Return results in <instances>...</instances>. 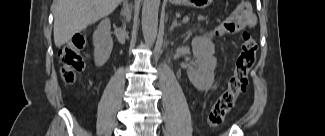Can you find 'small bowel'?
I'll return each mask as SVG.
<instances>
[{"mask_svg":"<svg viewBox=\"0 0 325 136\" xmlns=\"http://www.w3.org/2000/svg\"><path fill=\"white\" fill-rule=\"evenodd\" d=\"M233 30H234V26H232L231 24H228V23H223L215 29V34L216 35H224V34L230 33Z\"/></svg>","mask_w":325,"mask_h":136,"instance_id":"1","label":"small bowel"}]
</instances>
